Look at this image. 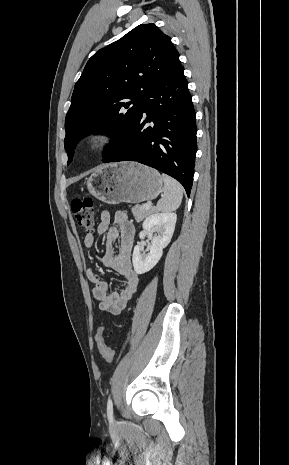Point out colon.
Listing matches in <instances>:
<instances>
[{
	"mask_svg": "<svg viewBox=\"0 0 289 465\" xmlns=\"http://www.w3.org/2000/svg\"><path fill=\"white\" fill-rule=\"evenodd\" d=\"M71 209L77 220L78 226L90 233L95 226L94 201L89 194L77 195L71 201ZM105 327L98 328L95 340L99 353L107 362H111L114 357L113 350L106 344L104 339Z\"/></svg>",
	"mask_w": 289,
	"mask_h": 465,
	"instance_id": "5ec220e1",
	"label": "colon"
}]
</instances>
